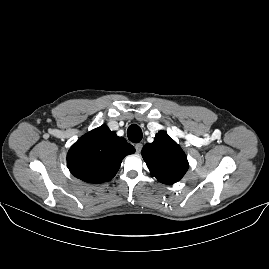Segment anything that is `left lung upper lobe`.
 <instances>
[{
  "mask_svg": "<svg viewBox=\"0 0 269 269\" xmlns=\"http://www.w3.org/2000/svg\"><path fill=\"white\" fill-rule=\"evenodd\" d=\"M142 156L151 174L164 184L178 182L188 170L185 153L164 131L156 134L153 143L143 147Z\"/></svg>",
  "mask_w": 269,
  "mask_h": 269,
  "instance_id": "obj_1",
  "label": "left lung upper lobe"
}]
</instances>
